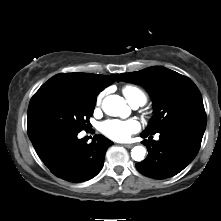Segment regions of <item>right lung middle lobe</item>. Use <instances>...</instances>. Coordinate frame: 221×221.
Masks as SVG:
<instances>
[{
  "mask_svg": "<svg viewBox=\"0 0 221 221\" xmlns=\"http://www.w3.org/2000/svg\"><path fill=\"white\" fill-rule=\"evenodd\" d=\"M96 97L64 84H44L32 97L27 113L28 134L40 130L74 133L90 125Z\"/></svg>",
  "mask_w": 221,
  "mask_h": 221,
  "instance_id": "dd1d6c3e",
  "label": "right lung middle lobe"
}]
</instances>
